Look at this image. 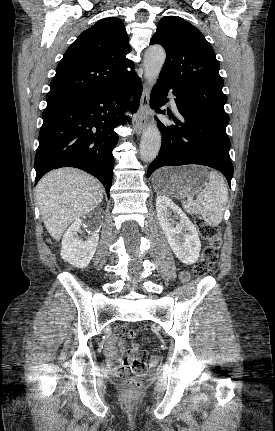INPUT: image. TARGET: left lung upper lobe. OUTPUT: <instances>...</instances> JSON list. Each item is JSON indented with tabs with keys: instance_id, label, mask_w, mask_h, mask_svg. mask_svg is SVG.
Here are the masks:
<instances>
[{
	"instance_id": "5c2ea615",
	"label": "left lung upper lobe",
	"mask_w": 275,
	"mask_h": 431,
	"mask_svg": "<svg viewBox=\"0 0 275 431\" xmlns=\"http://www.w3.org/2000/svg\"><path fill=\"white\" fill-rule=\"evenodd\" d=\"M150 44L166 50L160 77L167 80L177 95L198 110L229 121L224 110L223 78L219 62L204 35L178 16L163 17Z\"/></svg>"
}]
</instances>
